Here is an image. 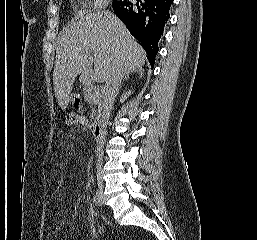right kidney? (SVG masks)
Segmentation results:
<instances>
[{
    "label": "right kidney",
    "instance_id": "ca27d5eb",
    "mask_svg": "<svg viewBox=\"0 0 257 240\" xmlns=\"http://www.w3.org/2000/svg\"><path fill=\"white\" fill-rule=\"evenodd\" d=\"M131 94V91L129 90L128 92H126L125 94L122 95L120 101L121 103H123L126 99H127V96Z\"/></svg>",
    "mask_w": 257,
    "mask_h": 240
}]
</instances>
